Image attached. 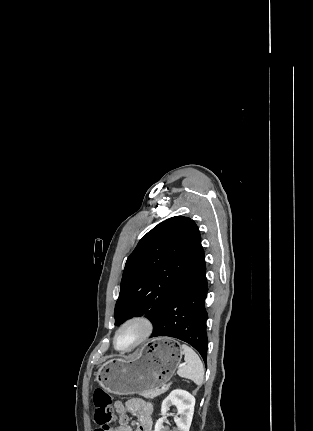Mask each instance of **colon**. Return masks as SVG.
I'll list each match as a JSON object with an SVG mask.
<instances>
[{
  "instance_id": "colon-1",
  "label": "colon",
  "mask_w": 313,
  "mask_h": 431,
  "mask_svg": "<svg viewBox=\"0 0 313 431\" xmlns=\"http://www.w3.org/2000/svg\"><path fill=\"white\" fill-rule=\"evenodd\" d=\"M94 419L98 427L94 431H115L111 426L113 414L111 410L112 397L106 390L98 388L94 391Z\"/></svg>"
}]
</instances>
